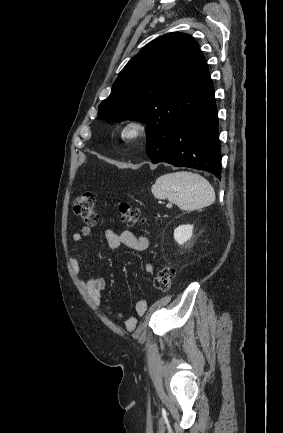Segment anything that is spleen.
<instances>
[{
	"label": "spleen",
	"mask_w": 283,
	"mask_h": 433,
	"mask_svg": "<svg viewBox=\"0 0 283 433\" xmlns=\"http://www.w3.org/2000/svg\"><path fill=\"white\" fill-rule=\"evenodd\" d=\"M151 190L155 198H168L181 210H198L215 200V190L207 178L187 170L158 176Z\"/></svg>",
	"instance_id": "3e777b00"
}]
</instances>
